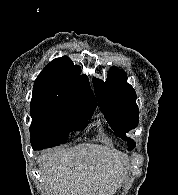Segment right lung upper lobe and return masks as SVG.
<instances>
[{"mask_svg":"<svg viewBox=\"0 0 178 195\" xmlns=\"http://www.w3.org/2000/svg\"><path fill=\"white\" fill-rule=\"evenodd\" d=\"M70 58L51 61L34 82L31 102L87 103L97 106L86 75Z\"/></svg>","mask_w":178,"mask_h":195,"instance_id":"obj_1","label":"right lung upper lobe"}]
</instances>
